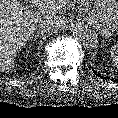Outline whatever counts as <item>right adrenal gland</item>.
Here are the masks:
<instances>
[{
  "label": "right adrenal gland",
  "mask_w": 118,
  "mask_h": 118,
  "mask_svg": "<svg viewBox=\"0 0 118 118\" xmlns=\"http://www.w3.org/2000/svg\"><path fill=\"white\" fill-rule=\"evenodd\" d=\"M40 35H42V33L38 31L36 34H33V35L31 36V39H33V41H36V39H37Z\"/></svg>",
  "instance_id": "obj_1"
}]
</instances>
